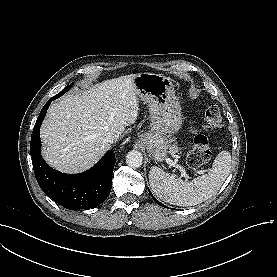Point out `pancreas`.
Returning a JSON list of instances; mask_svg holds the SVG:
<instances>
[{"instance_id":"pancreas-1","label":"pancreas","mask_w":277,"mask_h":277,"mask_svg":"<svg viewBox=\"0 0 277 277\" xmlns=\"http://www.w3.org/2000/svg\"><path fill=\"white\" fill-rule=\"evenodd\" d=\"M179 147L177 146V144H170L169 145V153L170 154H176V153H178L179 152Z\"/></svg>"}]
</instances>
